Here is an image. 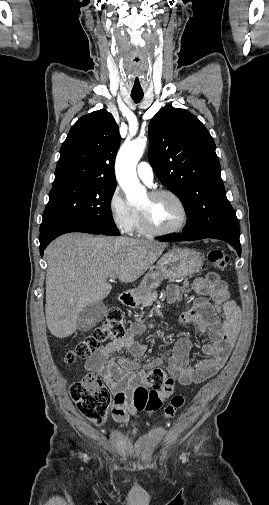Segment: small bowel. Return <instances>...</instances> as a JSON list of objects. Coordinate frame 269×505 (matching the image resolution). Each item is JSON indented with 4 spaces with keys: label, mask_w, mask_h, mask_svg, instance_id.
I'll return each instance as SVG.
<instances>
[{
    "label": "small bowel",
    "mask_w": 269,
    "mask_h": 505,
    "mask_svg": "<svg viewBox=\"0 0 269 505\" xmlns=\"http://www.w3.org/2000/svg\"><path fill=\"white\" fill-rule=\"evenodd\" d=\"M198 294L193 305L181 316L184 325L195 324L199 331L206 333L210 342L204 344L201 351L207 356L195 365H189L191 341L178 339L168 358L170 375L181 385L199 384L218 373L224 366L233 346L240 325V309L230 297L227 284L216 273H209L195 279L191 284ZM169 300H179L182 289L171 286ZM154 326V325H152ZM145 325L134 322L120 338L114 339L94 353L85 364L92 375L101 378L113 396L112 414L116 422L122 425H135L138 410L133 404L134 390L142 383L146 371L138 367L134 360L112 358L113 354L126 350L135 358H142L146 348L136 341V336L145 331ZM161 359L149 363L157 367Z\"/></svg>",
    "instance_id": "1"
}]
</instances>
